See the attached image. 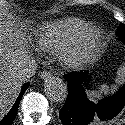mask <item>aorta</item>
Wrapping results in <instances>:
<instances>
[{
	"label": "aorta",
	"instance_id": "aorta-1",
	"mask_svg": "<svg viewBox=\"0 0 125 125\" xmlns=\"http://www.w3.org/2000/svg\"><path fill=\"white\" fill-rule=\"evenodd\" d=\"M44 91L46 96L54 102H62L68 95V88L60 78H49L45 82Z\"/></svg>",
	"mask_w": 125,
	"mask_h": 125
}]
</instances>
